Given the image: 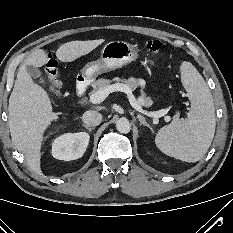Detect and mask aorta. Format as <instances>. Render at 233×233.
I'll use <instances>...</instances> for the list:
<instances>
[{"label": "aorta", "instance_id": "obj_1", "mask_svg": "<svg viewBox=\"0 0 233 233\" xmlns=\"http://www.w3.org/2000/svg\"><path fill=\"white\" fill-rule=\"evenodd\" d=\"M116 129L120 132V133H129V131L131 130V124L128 121V119L126 118H120L117 122H116Z\"/></svg>", "mask_w": 233, "mask_h": 233}]
</instances>
